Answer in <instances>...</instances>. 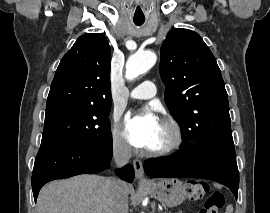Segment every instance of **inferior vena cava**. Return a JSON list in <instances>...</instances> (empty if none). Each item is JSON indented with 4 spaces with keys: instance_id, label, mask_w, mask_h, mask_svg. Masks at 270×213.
I'll use <instances>...</instances> for the list:
<instances>
[{
    "instance_id": "inferior-vena-cava-1",
    "label": "inferior vena cava",
    "mask_w": 270,
    "mask_h": 213,
    "mask_svg": "<svg viewBox=\"0 0 270 213\" xmlns=\"http://www.w3.org/2000/svg\"><path fill=\"white\" fill-rule=\"evenodd\" d=\"M113 158L117 167H122L131 158V147L126 142H116L113 147ZM112 211L111 213H128V196L124 182L119 178H111Z\"/></svg>"
}]
</instances>
